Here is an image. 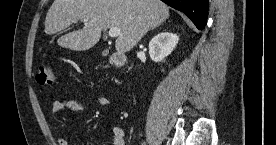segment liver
<instances>
[{
  "label": "liver",
  "mask_w": 276,
  "mask_h": 145,
  "mask_svg": "<svg viewBox=\"0 0 276 145\" xmlns=\"http://www.w3.org/2000/svg\"><path fill=\"white\" fill-rule=\"evenodd\" d=\"M169 17V7L160 0H54L45 19V33L55 34L75 21L83 29L70 32L57 41L73 51L92 48L104 29H120L115 42L118 53L130 51L141 38Z\"/></svg>",
  "instance_id": "obj_1"
}]
</instances>
